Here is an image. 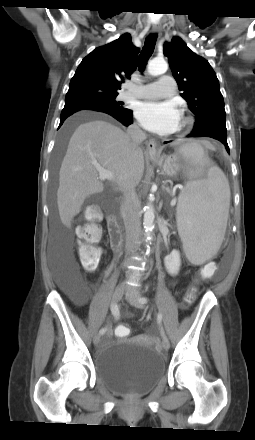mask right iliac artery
Returning <instances> with one entry per match:
<instances>
[{
    "mask_svg": "<svg viewBox=\"0 0 255 440\" xmlns=\"http://www.w3.org/2000/svg\"><path fill=\"white\" fill-rule=\"evenodd\" d=\"M111 312H112V315L117 320L119 318V309H118V306L116 304H111ZM105 332H106V328H102L99 331V335H103Z\"/></svg>",
    "mask_w": 255,
    "mask_h": 440,
    "instance_id": "1",
    "label": "right iliac artery"
}]
</instances>
